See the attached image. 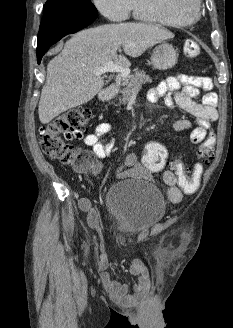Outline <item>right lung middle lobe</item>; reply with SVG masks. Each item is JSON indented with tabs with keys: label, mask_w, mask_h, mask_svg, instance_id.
Returning a JSON list of instances; mask_svg holds the SVG:
<instances>
[{
	"label": "right lung middle lobe",
	"mask_w": 233,
	"mask_h": 328,
	"mask_svg": "<svg viewBox=\"0 0 233 328\" xmlns=\"http://www.w3.org/2000/svg\"><path fill=\"white\" fill-rule=\"evenodd\" d=\"M43 10H69L97 12L90 0H47Z\"/></svg>",
	"instance_id": "1"
}]
</instances>
